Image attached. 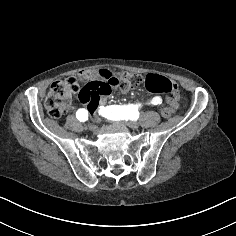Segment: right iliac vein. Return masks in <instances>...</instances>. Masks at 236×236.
<instances>
[{"instance_id": "right-iliac-vein-1", "label": "right iliac vein", "mask_w": 236, "mask_h": 236, "mask_svg": "<svg viewBox=\"0 0 236 236\" xmlns=\"http://www.w3.org/2000/svg\"><path fill=\"white\" fill-rule=\"evenodd\" d=\"M96 127H97V126H96V124H94V123L89 125V129H90V130H94V129H96Z\"/></svg>"}]
</instances>
